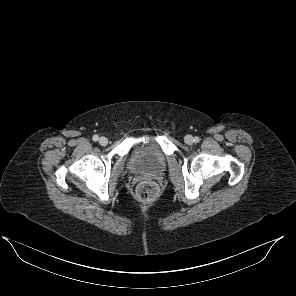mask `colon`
<instances>
[{
	"instance_id": "obj_1",
	"label": "colon",
	"mask_w": 296,
	"mask_h": 296,
	"mask_svg": "<svg viewBox=\"0 0 296 296\" xmlns=\"http://www.w3.org/2000/svg\"><path fill=\"white\" fill-rule=\"evenodd\" d=\"M159 189L155 182L144 181L137 186V195L143 202H151L158 195Z\"/></svg>"
}]
</instances>
